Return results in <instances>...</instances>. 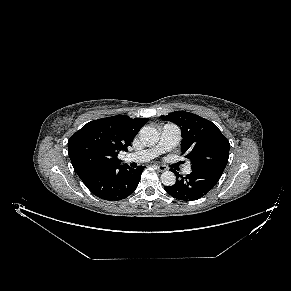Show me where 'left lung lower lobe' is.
<instances>
[{
  "mask_svg": "<svg viewBox=\"0 0 291 291\" xmlns=\"http://www.w3.org/2000/svg\"><path fill=\"white\" fill-rule=\"evenodd\" d=\"M173 171V170H172ZM176 183L173 186L164 187L172 197L193 201L206 195L219 181L223 172L213 170H192L186 177H182L176 171Z\"/></svg>",
  "mask_w": 291,
  "mask_h": 291,
  "instance_id": "left-lung-lower-lobe-1",
  "label": "left lung lower lobe"
}]
</instances>
